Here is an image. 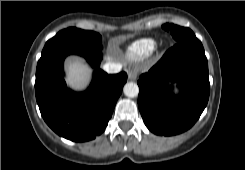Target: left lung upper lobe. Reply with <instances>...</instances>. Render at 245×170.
<instances>
[{
  "instance_id": "1",
  "label": "left lung upper lobe",
  "mask_w": 245,
  "mask_h": 170,
  "mask_svg": "<svg viewBox=\"0 0 245 170\" xmlns=\"http://www.w3.org/2000/svg\"><path fill=\"white\" fill-rule=\"evenodd\" d=\"M162 27L171 32V35L176 42L203 47L202 43L196 38L195 34L189 28L180 27L174 24H165Z\"/></svg>"
}]
</instances>
